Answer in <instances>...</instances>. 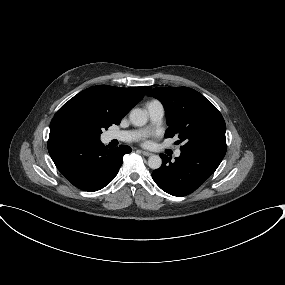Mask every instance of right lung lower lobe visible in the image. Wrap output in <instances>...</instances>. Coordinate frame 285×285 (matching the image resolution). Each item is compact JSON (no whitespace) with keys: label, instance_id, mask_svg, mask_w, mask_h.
Returning a JSON list of instances; mask_svg holds the SVG:
<instances>
[{"label":"right lung lower lobe","instance_id":"1","mask_svg":"<svg viewBox=\"0 0 285 285\" xmlns=\"http://www.w3.org/2000/svg\"><path fill=\"white\" fill-rule=\"evenodd\" d=\"M47 146L63 176L77 188L89 192L108 185L117 175L123 156L131 152L126 145L107 149L101 141H88L60 129L50 131Z\"/></svg>","mask_w":285,"mask_h":285}]
</instances>
